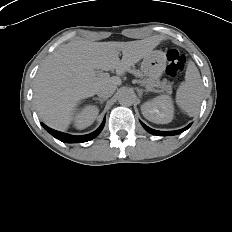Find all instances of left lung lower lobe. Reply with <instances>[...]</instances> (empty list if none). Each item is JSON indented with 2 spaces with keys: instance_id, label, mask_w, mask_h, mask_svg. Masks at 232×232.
Listing matches in <instances>:
<instances>
[{
  "instance_id": "left-lung-lower-lobe-1",
  "label": "left lung lower lobe",
  "mask_w": 232,
  "mask_h": 232,
  "mask_svg": "<svg viewBox=\"0 0 232 232\" xmlns=\"http://www.w3.org/2000/svg\"><path fill=\"white\" fill-rule=\"evenodd\" d=\"M142 123V122H141ZM142 125L145 127V129L147 131H149L150 133L152 134H155V135H159V136H166V135H175V134H179L181 132H183L184 130H186L188 127H190V125H188L187 127L181 129V130H177V131H157V130H154L148 126H146L144 123H142Z\"/></svg>"
}]
</instances>
